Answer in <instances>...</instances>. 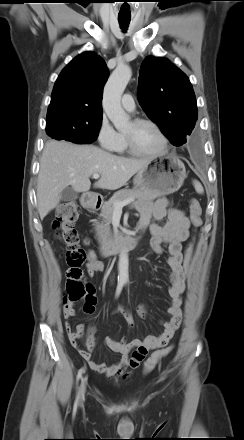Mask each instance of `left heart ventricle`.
Wrapping results in <instances>:
<instances>
[{
    "label": "left heart ventricle",
    "instance_id": "obj_1",
    "mask_svg": "<svg viewBox=\"0 0 244 440\" xmlns=\"http://www.w3.org/2000/svg\"><path fill=\"white\" fill-rule=\"evenodd\" d=\"M124 133L130 135L142 151L155 153L162 148L163 141L161 136L150 125H134L131 122Z\"/></svg>",
    "mask_w": 244,
    "mask_h": 440
}]
</instances>
